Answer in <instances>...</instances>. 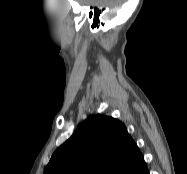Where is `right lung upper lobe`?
<instances>
[{
    "label": "right lung upper lobe",
    "mask_w": 187,
    "mask_h": 174,
    "mask_svg": "<svg viewBox=\"0 0 187 174\" xmlns=\"http://www.w3.org/2000/svg\"><path fill=\"white\" fill-rule=\"evenodd\" d=\"M146 169L124 124L92 115L55 151L44 174H140Z\"/></svg>",
    "instance_id": "1"
}]
</instances>
